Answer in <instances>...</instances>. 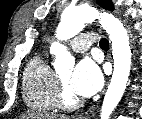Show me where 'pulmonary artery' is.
<instances>
[{
    "instance_id": "1",
    "label": "pulmonary artery",
    "mask_w": 142,
    "mask_h": 119,
    "mask_svg": "<svg viewBox=\"0 0 142 119\" xmlns=\"http://www.w3.org/2000/svg\"><path fill=\"white\" fill-rule=\"evenodd\" d=\"M95 42V39L92 35H81L74 38L70 43V48L78 53L85 52L88 50Z\"/></svg>"
}]
</instances>
